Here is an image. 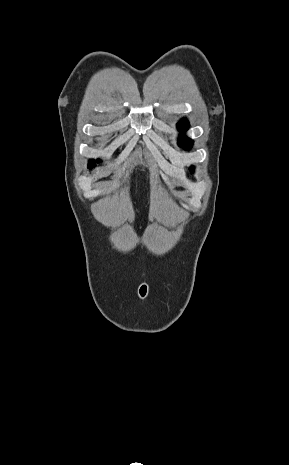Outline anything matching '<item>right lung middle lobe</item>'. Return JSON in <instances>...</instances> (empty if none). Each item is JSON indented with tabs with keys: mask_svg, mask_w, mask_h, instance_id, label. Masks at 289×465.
<instances>
[{
	"mask_svg": "<svg viewBox=\"0 0 289 465\" xmlns=\"http://www.w3.org/2000/svg\"><path fill=\"white\" fill-rule=\"evenodd\" d=\"M97 162H99V160H97ZM95 166H96V162H95V160H92V161L89 162L88 168H92V167H95Z\"/></svg>",
	"mask_w": 289,
	"mask_h": 465,
	"instance_id": "dd1d6c3e",
	"label": "right lung middle lobe"
}]
</instances>
